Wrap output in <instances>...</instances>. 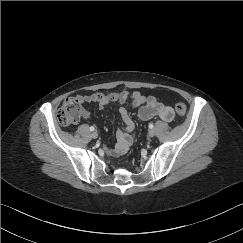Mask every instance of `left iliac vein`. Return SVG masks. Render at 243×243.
Instances as JSON below:
<instances>
[{
    "mask_svg": "<svg viewBox=\"0 0 243 243\" xmlns=\"http://www.w3.org/2000/svg\"><path fill=\"white\" fill-rule=\"evenodd\" d=\"M150 137H153L155 135V131L154 130H149L148 132Z\"/></svg>",
    "mask_w": 243,
    "mask_h": 243,
    "instance_id": "obj_1",
    "label": "left iliac vein"
}]
</instances>
